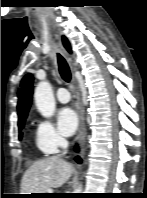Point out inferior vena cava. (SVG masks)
Masks as SVG:
<instances>
[{
    "instance_id": "obj_1",
    "label": "inferior vena cava",
    "mask_w": 147,
    "mask_h": 198,
    "mask_svg": "<svg viewBox=\"0 0 147 198\" xmlns=\"http://www.w3.org/2000/svg\"><path fill=\"white\" fill-rule=\"evenodd\" d=\"M59 146L62 148V149H67L68 147V141L62 137L59 138ZM66 153V151L64 152V154Z\"/></svg>"
}]
</instances>
